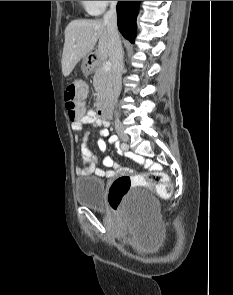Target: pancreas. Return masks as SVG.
I'll return each instance as SVG.
<instances>
[{"instance_id": "1", "label": "pancreas", "mask_w": 233, "mask_h": 295, "mask_svg": "<svg viewBox=\"0 0 233 295\" xmlns=\"http://www.w3.org/2000/svg\"><path fill=\"white\" fill-rule=\"evenodd\" d=\"M111 71L103 70V66L98 64L95 68L93 86L99 98H107L111 92Z\"/></svg>"}]
</instances>
